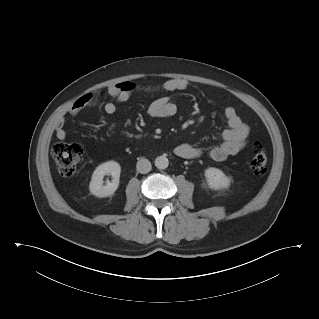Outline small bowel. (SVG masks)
Returning a JSON list of instances; mask_svg holds the SVG:
<instances>
[{
    "instance_id": "c3829d8e",
    "label": "small bowel",
    "mask_w": 319,
    "mask_h": 319,
    "mask_svg": "<svg viewBox=\"0 0 319 319\" xmlns=\"http://www.w3.org/2000/svg\"><path fill=\"white\" fill-rule=\"evenodd\" d=\"M189 87L187 80L183 78H172L161 85L136 87L132 83L122 82L108 86L104 94L112 98L104 105V111L108 116L113 115L117 110V105L128 101L136 92L161 91L165 94L155 100L148 108V115L152 119H168L173 117L177 112V106L172 100L169 93L186 91ZM102 94L86 93L79 96L73 101L68 108V114L74 116L79 114L83 109L95 105ZM227 128L221 133V144L211 148L208 152L211 159L223 161L229 156L242 150L248 141L249 127L240 118L236 110L228 106L224 109ZM55 136L59 140H64L67 132L64 123H61L55 129ZM174 152L179 157L185 159L198 158L202 151L200 148L189 144H178Z\"/></svg>"
}]
</instances>
